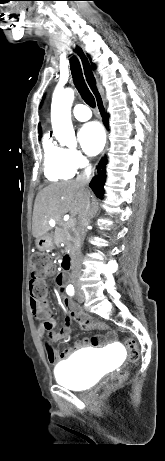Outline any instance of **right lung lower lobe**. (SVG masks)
Instances as JSON below:
<instances>
[{
  "instance_id": "1",
  "label": "right lung lower lobe",
  "mask_w": 165,
  "mask_h": 461,
  "mask_svg": "<svg viewBox=\"0 0 165 461\" xmlns=\"http://www.w3.org/2000/svg\"><path fill=\"white\" fill-rule=\"evenodd\" d=\"M104 124L107 126L108 125V118L105 116L104 118ZM106 158H102L100 163L98 164L97 167V175L91 180L89 186L93 190V192L96 194V196L100 199L103 197V186L106 180V174H105V166H106Z\"/></svg>"
}]
</instances>
